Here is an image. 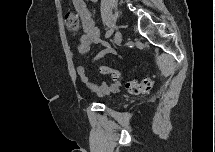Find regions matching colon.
Wrapping results in <instances>:
<instances>
[{
    "label": "colon",
    "mask_w": 215,
    "mask_h": 152,
    "mask_svg": "<svg viewBox=\"0 0 215 152\" xmlns=\"http://www.w3.org/2000/svg\"><path fill=\"white\" fill-rule=\"evenodd\" d=\"M65 25L69 32L75 34L80 28L79 17L72 13L67 12L65 15ZM98 71L101 74H108L115 80H120L121 74L117 70L111 69L108 66L100 65L98 66ZM154 86V79L152 77H145L142 81L138 82L135 80H128L125 82V87L130 94H141L150 91Z\"/></svg>",
    "instance_id": "5ec220e1"
}]
</instances>
